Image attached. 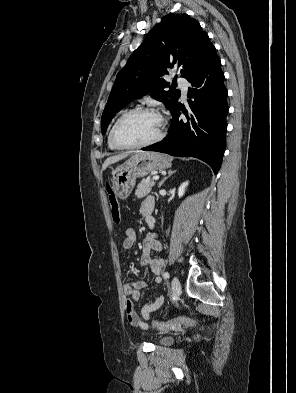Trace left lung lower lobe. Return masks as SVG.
<instances>
[{
  "mask_svg": "<svg viewBox=\"0 0 296 393\" xmlns=\"http://www.w3.org/2000/svg\"><path fill=\"white\" fill-rule=\"evenodd\" d=\"M187 80L192 84L188 97L193 98L189 101V112L177 104L168 135L142 150L196 157L209 164L216 174L225 151L228 113V92L216 49ZM180 111L186 120L179 119Z\"/></svg>",
  "mask_w": 296,
  "mask_h": 393,
  "instance_id": "obj_1",
  "label": "left lung lower lobe"
}]
</instances>
